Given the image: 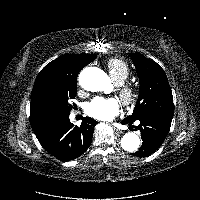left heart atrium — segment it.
<instances>
[{
  "instance_id": "obj_1",
  "label": "left heart atrium",
  "mask_w": 200,
  "mask_h": 200,
  "mask_svg": "<svg viewBox=\"0 0 200 200\" xmlns=\"http://www.w3.org/2000/svg\"><path fill=\"white\" fill-rule=\"evenodd\" d=\"M120 112L119 102L115 98L96 97L86 106V113L98 120L109 121Z\"/></svg>"
}]
</instances>
